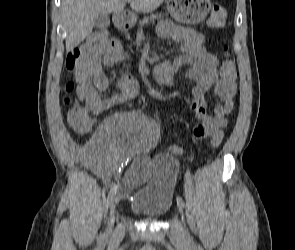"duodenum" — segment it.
Instances as JSON below:
<instances>
[{"mask_svg": "<svg viewBox=\"0 0 295 250\" xmlns=\"http://www.w3.org/2000/svg\"><path fill=\"white\" fill-rule=\"evenodd\" d=\"M114 21L117 28H121L123 24L128 22V13L123 10L117 13L114 17Z\"/></svg>", "mask_w": 295, "mask_h": 250, "instance_id": "obj_1", "label": "duodenum"}]
</instances>
